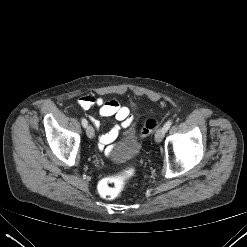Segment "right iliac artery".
I'll return each instance as SVG.
<instances>
[{
  "label": "right iliac artery",
  "mask_w": 247,
  "mask_h": 247,
  "mask_svg": "<svg viewBox=\"0 0 247 247\" xmlns=\"http://www.w3.org/2000/svg\"><path fill=\"white\" fill-rule=\"evenodd\" d=\"M82 126L85 128L88 125V122L85 118L81 120Z\"/></svg>",
  "instance_id": "1"
}]
</instances>
